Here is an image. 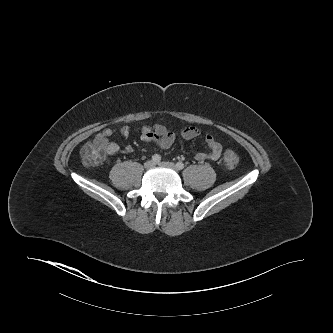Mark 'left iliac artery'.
I'll return each mask as SVG.
<instances>
[{"label": "left iliac artery", "mask_w": 333, "mask_h": 333, "mask_svg": "<svg viewBox=\"0 0 333 333\" xmlns=\"http://www.w3.org/2000/svg\"><path fill=\"white\" fill-rule=\"evenodd\" d=\"M176 167L178 170H182L184 168V164L182 162H177Z\"/></svg>", "instance_id": "44dca946"}]
</instances>
